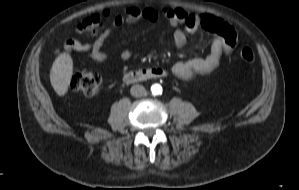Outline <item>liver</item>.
Wrapping results in <instances>:
<instances>
[{
	"label": "liver",
	"mask_w": 299,
	"mask_h": 190,
	"mask_svg": "<svg viewBox=\"0 0 299 190\" xmlns=\"http://www.w3.org/2000/svg\"><path fill=\"white\" fill-rule=\"evenodd\" d=\"M73 74V60L67 53L60 54L54 61L50 81L53 89L59 96L67 93Z\"/></svg>",
	"instance_id": "1"
}]
</instances>
